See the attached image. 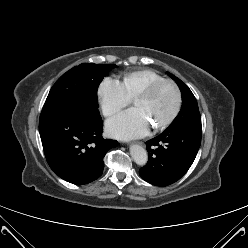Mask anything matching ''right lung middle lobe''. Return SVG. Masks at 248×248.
<instances>
[{
	"instance_id": "dd1d6c3e",
	"label": "right lung middle lobe",
	"mask_w": 248,
	"mask_h": 248,
	"mask_svg": "<svg viewBox=\"0 0 248 248\" xmlns=\"http://www.w3.org/2000/svg\"><path fill=\"white\" fill-rule=\"evenodd\" d=\"M115 64H81L62 75L51 88L40 121L80 108L98 109L97 90Z\"/></svg>"
}]
</instances>
